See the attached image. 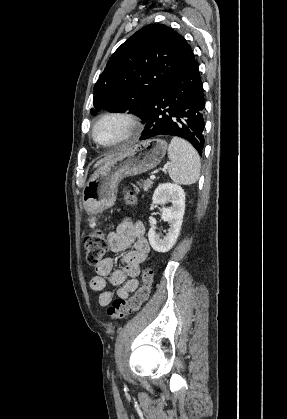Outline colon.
Listing matches in <instances>:
<instances>
[{
	"label": "colon",
	"instance_id": "obj_1",
	"mask_svg": "<svg viewBox=\"0 0 287 419\" xmlns=\"http://www.w3.org/2000/svg\"><path fill=\"white\" fill-rule=\"evenodd\" d=\"M124 199L127 204H133L135 197L132 191H124ZM87 262L91 266H97L103 262L107 253V242L102 231H95L88 234L84 239ZM152 282V272L145 269L142 274L141 287L129 298L115 299L107 309V315L111 320H119L137 312L143 303L148 299Z\"/></svg>",
	"mask_w": 287,
	"mask_h": 419
}]
</instances>
